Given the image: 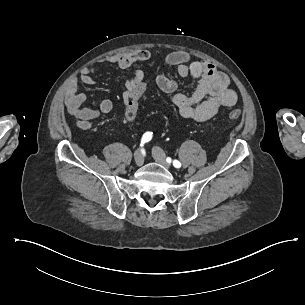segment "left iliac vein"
Wrapping results in <instances>:
<instances>
[{"label":"left iliac vein","instance_id":"left-iliac-vein-1","mask_svg":"<svg viewBox=\"0 0 305 305\" xmlns=\"http://www.w3.org/2000/svg\"><path fill=\"white\" fill-rule=\"evenodd\" d=\"M154 159L163 165L166 169H170L171 165L167 163L165 152L159 148H155L152 152Z\"/></svg>","mask_w":305,"mask_h":305}]
</instances>
